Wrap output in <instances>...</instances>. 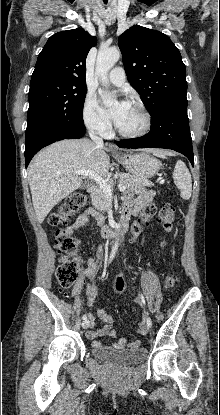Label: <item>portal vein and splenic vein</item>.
I'll return each instance as SVG.
<instances>
[{
  "mask_svg": "<svg viewBox=\"0 0 220 415\" xmlns=\"http://www.w3.org/2000/svg\"><path fill=\"white\" fill-rule=\"evenodd\" d=\"M74 174L90 177L95 182H97V184L100 186V188L104 191V193L107 196H112L113 185L108 180H105L104 178L96 174L95 172L91 170H79V171L74 172ZM118 188H119V191L121 192H124L126 190V187L121 184L118 185Z\"/></svg>",
  "mask_w": 220,
  "mask_h": 415,
  "instance_id": "1",
  "label": "portal vein and splenic vein"
}]
</instances>
